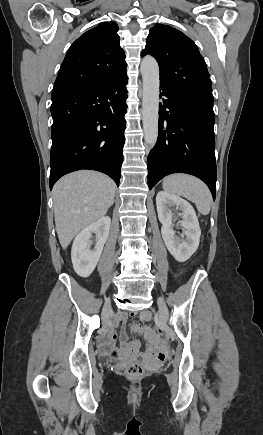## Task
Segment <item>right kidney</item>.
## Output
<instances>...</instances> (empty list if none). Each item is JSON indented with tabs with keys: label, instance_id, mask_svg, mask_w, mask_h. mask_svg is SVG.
Masks as SVG:
<instances>
[{
	"label": "right kidney",
	"instance_id": "1",
	"mask_svg": "<svg viewBox=\"0 0 263 435\" xmlns=\"http://www.w3.org/2000/svg\"><path fill=\"white\" fill-rule=\"evenodd\" d=\"M110 225V217L104 216L82 229L75 237L71 258L74 270L79 276L88 277L94 271L108 238ZM93 233L96 234V244L91 248Z\"/></svg>",
	"mask_w": 263,
	"mask_h": 435
}]
</instances>
